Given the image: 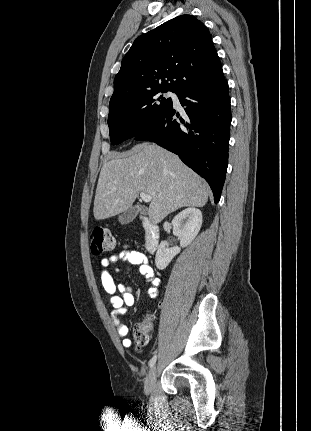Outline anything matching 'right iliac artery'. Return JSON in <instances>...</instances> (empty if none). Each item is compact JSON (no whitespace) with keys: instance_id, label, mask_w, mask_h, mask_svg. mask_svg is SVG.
Segmentation results:
<instances>
[{"instance_id":"right-iliac-artery-1","label":"right iliac artery","mask_w":311,"mask_h":431,"mask_svg":"<svg viewBox=\"0 0 311 431\" xmlns=\"http://www.w3.org/2000/svg\"><path fill=\"white\" fill-rule=\"evenodd\" d=\"M156 358H157V356H156V355H154V356L151 358V360L149 361V367H150V368H152V367L154 366V364H155V362H156Z\"/></svg>"}]
</instances>
